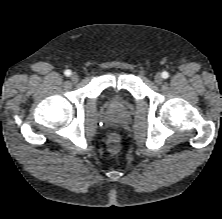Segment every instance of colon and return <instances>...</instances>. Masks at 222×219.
I'll return each instance as SVG.
<instances>
[{
	"label": "colon",
	"instance_id": "1",
	"mask_svg": "<svg viewBox=\"0 0 222 219\" xmlns=\"http://www.w3.org/2000/svg\"><path fill=\"white\" fill-rule=\"evenodd\" d=\"M121 148V138L117 133H111L107 138V149L111 154H117Z\"/></svg>",
	"mask_w": 222,
	"mask_h": 219
}]
</instances>
